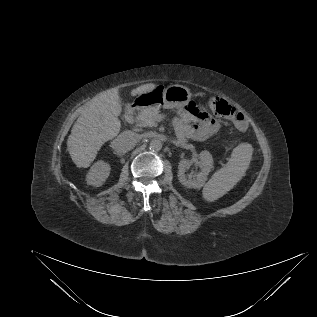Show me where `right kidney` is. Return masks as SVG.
Returning <instances> with one entry per match:
<instances>
[{"mask_svg":"<svg viewBox=\"0 0 317 317\" xmlns=\"http://www.w3.org/2000/svg\"><path fill=\"white\" fill-rule=\"evenodd\" d=\"M110 165L100 160L96 162L87 174V184L93 185L96 187L101 186L110 174Z\"/></svg>","mask_w":317,"mask_h":317,"instance_id":"1","label":"right kidney"}]
</instances>
